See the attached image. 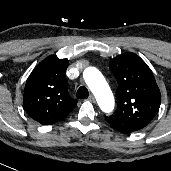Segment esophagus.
I'll use <instances>...</instances> for the list:
<instances>
[{
    "label": "esophagus",
    "mask_w": 171,
    "mask_h": 171,
    "mask_svg": "<svg viewBox=\"0 0 171 171\" xmlns=\"http://www.w3.org/2000/svg\"><path fill=\"white\" fill-rule=\"evenodd\" d=\"M89 100L92 102H95V97L91 94V95H89Z\"/></svg>",
    "instance_id": "34e87169"
}]
</instances>
